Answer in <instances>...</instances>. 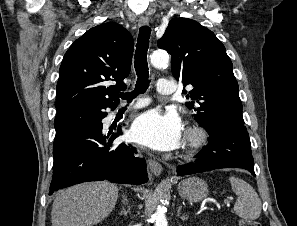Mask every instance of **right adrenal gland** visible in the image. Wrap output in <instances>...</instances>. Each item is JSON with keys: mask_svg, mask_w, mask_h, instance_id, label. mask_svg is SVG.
<instances>
[{"mask_svg": "<svg viewBox=\"0 0 297 226\" xmlns=\"http://www.w3.org/2000/svg\"><path fill=\"white\" fill-rule=\"evenodd\" d=\"M122 203L127 207V209L123 207L122 211L120 212V215L126 216L130 212V206L125 195H122Z\"/></svg>", "mask_w": 297, "mask_h": 226, "instance_id": "1", "label": "right adrenal gland"}]
</instances>
